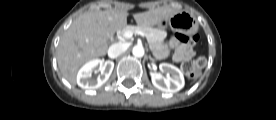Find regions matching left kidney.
Wrapping results in <instances>:
<instances>
[{"label": "left kidney", "mask_w": 276, "mask_h": 120, "mask_svg": "<svg viewBox=\"0 0 276 120\" xmlns=\"http://www.w3.org/2000/svg\"><path fill=\"white\" fill-rule=\"evenodd\" d=\"M160 70L167 74L163 77L158 72H151L152 84L159 90L166 93H175L184 87V76L174 65L161 63Z\"/></svg>", "instance_id": "left-kidney-1"}]
</instances>
